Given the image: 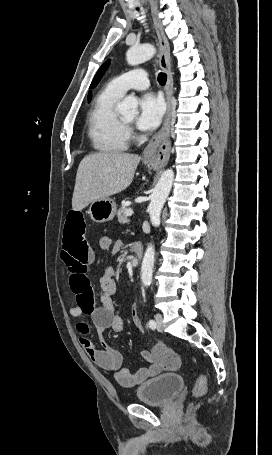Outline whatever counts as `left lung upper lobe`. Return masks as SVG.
<instances>
[{
  "label": "left lung upper lobe",
  "mask_w": 272,
  "mask_h": 455,
  "mask_svg": "<svg viewBox=\"0 0 272 455\" xmlns=\"http://www.w3.org/2000/svg\"><path fill=\"white\" fill-rule=\"evenodd\" d=\"M109 63H110V60L106 61L100 68L99 70L97 71L91 85H90V88H94L98 82L100 81V79L102 78V76L104 75L105 71L107 70L108 66H109ZM91 99V92L89 93L88 95V100Z\"/></svg>",
  "instance_id": "obj_1"
}]
</instances>
